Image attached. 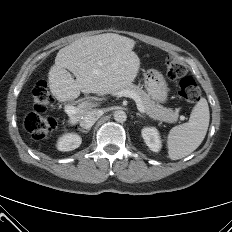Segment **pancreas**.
<instances>
[{
    "instance_id": "pancreas-1",
    "label": "pancreas",
    "mask_w": 232,
    "mask_h": 232,
    "mask_svg": "<svg viewBox=\"0 0 232 232\" xmlns=\"http://www.w3.org/2000/svg\"><path fill=\"white\" fill-rule=\"evenodd\" d=\"M128 90L136 93L144 106L145 113L154 120L166 123H175L178 121L179 114L178 111H173L170 108L163 107L159 103H156L151 99V97L139 86L134 84H128L124 88L112 93L118 95L119 92Z\"/></svg>"
}]
</instances>
